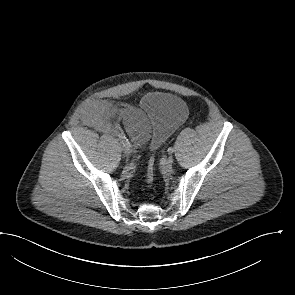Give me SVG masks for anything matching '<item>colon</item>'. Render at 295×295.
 Instances as JSON below:
<instances>
[{
	"instance_id": "1",
	"label": "colon",
	"mask_w": 295,
	"mask_h": 295,
	"mask_svg": "<svg viewBox=\"0 0 295 295\" xmlns=\"http://www.w3.org/2000/svg\"><path fill=\"white\" fill-rule=\"evenodd\" d=\"M155 177V159L151 157L147 164L146 182L148 185H152Z\"/></svg>"
}]
</instances>
